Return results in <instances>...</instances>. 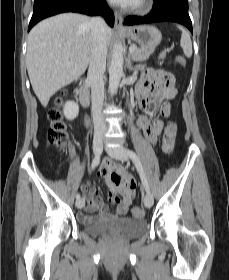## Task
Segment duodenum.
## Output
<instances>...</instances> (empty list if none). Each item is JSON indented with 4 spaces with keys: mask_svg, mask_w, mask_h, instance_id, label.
I'll return each instance as SVG.
<instances>
[{
    "mask_svg": "<svg viewBox=\"0 0 229 280\" xmlns=\"http://www.w3.org/2000/svg\"><path fill=\"white\" fill-rule=\"evenodd\" d=\"M77 92H78L80 103L85 107L89 106V104H90V87L85 82V80H83V82L79 86Z\"/></svg>",
    "mask_w": 229,
    "mask_h": 280,
    "instance_id": "1",
    "label": "duodenum"
}]
</instances>
